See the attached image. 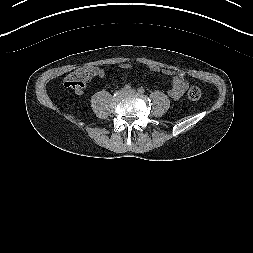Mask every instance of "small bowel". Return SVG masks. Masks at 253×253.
I'll use <instances>...</instances> for the list:
<instances>
[{"mask_svg":"<svg viewBox=\"0 0 253 253\" xmlns=\"http://www.w3.org/2000/svg\"><path fill=\"white\" fill-rule=\"evenodd\" d=\"M121 67L130 68L131 65L129 63H123ZM93 73L94 75L99 76V77L104 76V71L99 68H93ZM162 73L171 76V86H170V89L168 90V94L174 99H177L178 97L183 95L188 86L185 73L183 71H177V70H163ZM76 93L81 95L84 93V91L83 90L76 91Z\"/></svg>","mask_w":253,"mask_h":253,"instance_id":"c3829d8e","label":"small bowel"}]
</instances>
